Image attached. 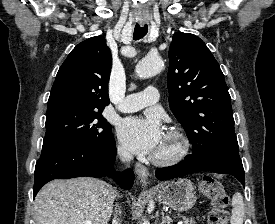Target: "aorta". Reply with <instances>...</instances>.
<instances>
[{"label": "aorta", "instance_id": "762f6f07", "mask_svg": "<svg viewBox=\"0 0 275 224\" xmlns=\"http://www.w3.org/2000/svg\"><path fill=\"white\" fill-rule=\"evenodd\" d=\"M164 66L160 56H147L142 59L136 66V73L139 77L148 78L159 73ZM142 224H149L144 221Z\"/></svg>", "mask_w": 275, "mask_h": 224}]
</instances>
